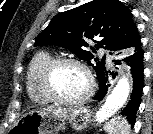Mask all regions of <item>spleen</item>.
Wrapping results in <instances>:
<instances>
[{
	"label": "spleen",
	"mask_w": 153,
	"mask_h": 134,
	"mask_svg": "<svg viewBox=\"0 0 153 134\" xmlns=\"http://www.w3.org/2000/svg\"><path fill=\"white\" fill-rule=\"evenodd\" d=\"M109 134H130V126L124 117L113 118L106 126Z\"/></svg>",
	"instance_id": "1"
}]
</instances>
